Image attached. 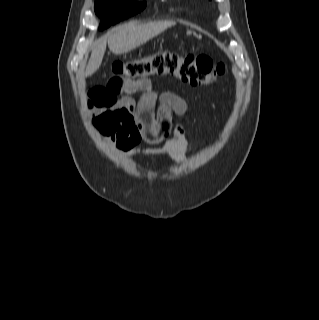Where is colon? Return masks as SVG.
<instances>
[{
	"mask_svg": "<svg viewBox=\"0 0 319 320\" xmlns=\"http://www.w3.org/2000/svg\"><path fill=\"white\" fill-rule=\"evenodd\" d=\"M224 71L222 64L215 63L205 55L165 50L136 60L115 63L110 82L122 87L147 81L154 76L171 75L190 85L202 86L211 84ZM120 130L131 145L142 141L160 143L170 133V128L161 126L150 116L126 115Z\"/></svg>",
	"mask_w": 319,
	"mask_h": 320,
	"instance_id": "obj_1",
	"label": "colon"
}]
</instances>
